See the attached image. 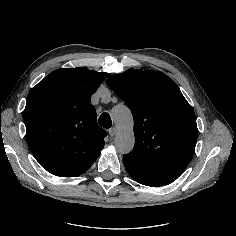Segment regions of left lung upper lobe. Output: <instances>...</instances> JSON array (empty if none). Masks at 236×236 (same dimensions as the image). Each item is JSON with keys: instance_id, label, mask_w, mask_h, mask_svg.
<instances>
[{"instance_id": "obj_1", "label": "left lung upper lobe", "mask_w": 236, "mask_h": 236, "mask_svg": "<svg viewBox=\"0 0 236 236\" xmlns=\"http://www.w3.org/2000/svg\"><path fill=\"white\" fill-rule=\"evenodd\" d=\"M108 86L134 118L135 145L123 161L169 184L186 169L195 151V113L178 86L156 71L131 70L108 78Z\"/></svg>"}]
</instances>
